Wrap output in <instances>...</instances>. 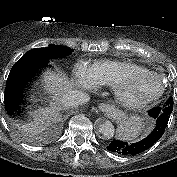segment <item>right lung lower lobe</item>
Wrapping results in <instances>:
<instances>
[{
  "mask_svg": "<svg viewBox=\"0 0 177 177\" xmlns=\"http://www.w3.org/2000/svg\"><path fill=\"white\" fill-rule=\"evenodd\" d=\"M49 58L35 55H24L10 71L4 95L5 110L8 115L14 116L21 113L23 108L22 94L29 81L39 69L48 65Z\"/></svg>",
  "mask_w": 177,
  "mask_h": 177,
  "instance_id": "obj_1",
  "label": "right lung lower lobe"
}]
</instances>
